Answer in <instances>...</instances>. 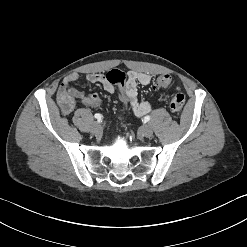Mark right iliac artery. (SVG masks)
<instances>
[{"label": "right iliac artery", "mask_w": 247, "mask_h": 247, "mask_svg": "<svg viewBox=\"0 0 247 247\" xmlns=\"http://www.w3.org/2000/svg\"><path fill=\"white\" fill-rule=\"evenodd\" d=\"M94 117H95L96 119H98V120H101V119L103 118V116H102L101 114H99V113H96V114L94 115Z\"/></svg>", "instance_id": "obj_1"}]
</instances>
